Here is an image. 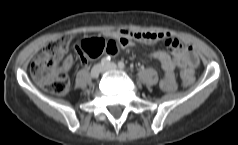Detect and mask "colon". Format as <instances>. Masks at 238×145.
Instances as JSON below:
<instances>
[{"label": "colon", "instance_id": "colon-1", "mask_svg": "<svg viewBox=\"0 0 238 145\" xmlns=\"http://www.w3.org/2000/svg\"><path fill=\"white\" fill-rule=\"evenodd\" d=\"M68 45V37L52 40L44 46L30 64V73L36 81L44 89L57 95H64L69 89L67 74L57 69ZM76 49L81 59L97 58L103 53L116 54L119 50V44L114 39L89 38L79 42ZM181 77L185 84H190L194 79L193 71L182 72Z\"/></svg>", "mask_w": 238, "mask_h": 145}]
</instances>
